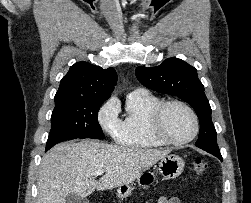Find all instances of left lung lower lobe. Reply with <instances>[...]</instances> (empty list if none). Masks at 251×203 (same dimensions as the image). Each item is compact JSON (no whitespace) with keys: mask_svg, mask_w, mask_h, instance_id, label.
<instances>
[{"mask_svg":"<svg viewBox=\"0 0 251 203\" xmlns=\"http://www.w3.org/2000/svg\"><path fill=\"white\" fill-rule=\"evenodd\" d=\"M213 154L214 156L218 157L221 161H222V156L220 153H211Z\"/></svg>","mask_w":251,"mask_h":203,"instance_id":"1","label":"left lung lower lobe"}]
</instances>
